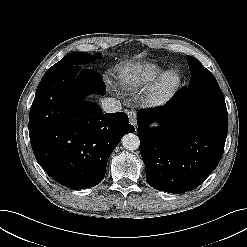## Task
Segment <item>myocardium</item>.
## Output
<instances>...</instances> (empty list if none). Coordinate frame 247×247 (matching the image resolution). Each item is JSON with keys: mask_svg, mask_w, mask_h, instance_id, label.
Returning <instances> with one entry per match:
<instances>
[{"mask_svg": "<svg viewBox=\"0 0 247 247\" xmlns=\"http://www.w3.org/2000/svg\"><path fill=\"white\" fill-rule=\"evenodd\" d=\"M181 76L176 71L162 74L148 91V100L153 105H158L166 100L169 95L180 85Z\"/></svg>", "mask_w": 247, "mask_h": 247, "instance_id": "f54148a6", "label": "myocardium"}]
</instances>
